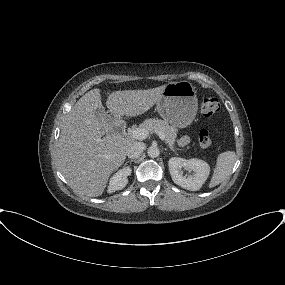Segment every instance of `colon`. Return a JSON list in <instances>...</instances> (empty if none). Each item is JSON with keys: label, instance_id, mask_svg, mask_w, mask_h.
I'll return each instance as SVG.
<instances>
[{"label": "colon", "instance_id": "5ec220e1", "mask_svg": "<svg viewBox=\"0 0 285 285\" xmlns=\"http://www.w3.org/2000/svg\"><path fill=\"white\" fill-rule=\"evenodd\" d=\"M220 110V102L214 96H203L200 101V111L204 117H211ZM198 144L202 149L211 145V138L206 130L199 133Z\"/></svg>", "mask_w": 285, "mask_h": 285}]
</instances>
